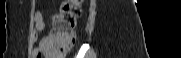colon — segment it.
<instances>
[{"mask_svg": "<svg viewBox=\"0 0 181 58\" xmlns=\"http://www.w3.org/2000/svg\"><path fill=\"white\" fill-rule=\"evenodd\" d=\"M82 0L62 2L59 11L53 16V31L47 38L48 50L58 55H65L77 40L76 25L81 15ZM41 58L42 55L36 56Z\"/></svg>", "mask_w": 181, "mask_h": 58, "instance_id": "1", "label": "colon"}]
</instances>
